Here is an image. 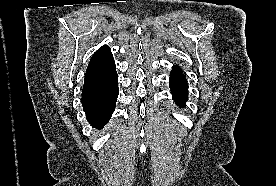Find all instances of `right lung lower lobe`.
Returning <instances> with one entry per match:
<instances>
[{
  "mask_svg": "<svg viewBox=\"0 0 276 186\" xmlns=\"http://www.w3.org/2000/svg\"><path fill=\"white\" fill-rule=\"evenodd\" d=\"M118 97V76L92 84L84 85L82 90V106L88 122L97 129L111 118Z\"/></svg>",
  "mask_w": 276,
  "mask_h": 186,
  "instance_id": "right-lung-lower-lobe-1",
  "label": "right lung lower lobe"
}]
</instances>
